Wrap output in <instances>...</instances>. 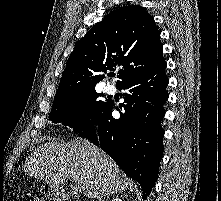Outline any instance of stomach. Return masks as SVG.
I'll use <instances>...</instances> for the list:
<instances>
[{"mask_svg": "<svg viewBox=\"0 0 221 201\" xmlns=\"http://www.w3.org/2000/svg\"><path fill=\"white\" fill-rule=\"evenodd\" d=\"M54 187L50 186L49 184H44L42 186V189L44 190L45 194L51 198H56L59 193L56 192L54 189Z\"/></svg>", "mask_w": 221, "mask_h": 201, "instance_id": "obj_1", "label": "stomach"}]
</instances>
